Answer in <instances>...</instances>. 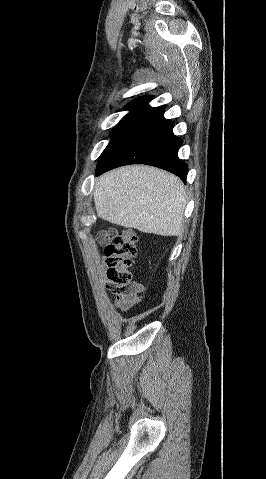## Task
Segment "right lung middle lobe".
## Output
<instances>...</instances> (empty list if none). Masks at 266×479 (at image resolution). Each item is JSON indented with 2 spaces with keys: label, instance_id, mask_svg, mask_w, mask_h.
I'll use <instances>...</instances> for the list:
<instances>
[{
  "label": "right lung middle lobe",
  "instance_id": "1",
  "mask_svg": "<svg viewBox=\"0 0 266 479\" xmlns=\"http://www.w3.org/2000/svg\"><path fill=\"white\" fill-rule=\"evenodd\" d=\"M137 114L135 113H129L125 115L120 123L113 129L111 132V136L114 138L121 130L122 128L130 121L132 120Z\"/></svg>",
  "mask_w": 266,
  "mask_h": 479
}]
</instances>
